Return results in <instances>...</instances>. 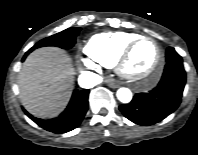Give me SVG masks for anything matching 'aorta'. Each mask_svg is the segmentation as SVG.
I'll use <instances>...</instances> for the list:
<instances>
[{"mask_svg":"<svg viewBox=\"0 0 198 155\" xmlns=\"http://www.w3.org/2000/svg\"><path fill=\"white\" fill-rule=\"evenodd\" d=\"M116 95L118 100L122 103H129L132 100V92L125 87L119 88Z\"/></svg>","mask_w":198,"mask_h":155,"instance_id":"aorta-1","label":"aorta"}]
</instances>
